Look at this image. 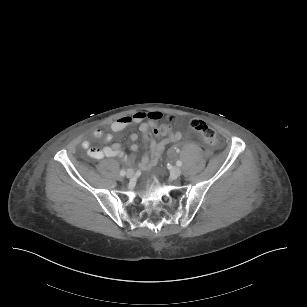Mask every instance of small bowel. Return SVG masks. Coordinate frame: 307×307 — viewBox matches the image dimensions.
Returning <instances> with one entry per match:
<instances>
[{"mask_svg":"<svg viewBox=\"0 0 307 307\" xmlns=\"http://www.w3.org/2000/svg\"><path fill=\"white\" fill-rule=\"evenodd\" d=\"M162 119V113L159 111H137L132 114L123 116L115 120L111 124V129L114 132H120L132 124H140V131L143 136V140L149 146L146 147V153L139 162V166L142 169H149L155 166L158 162V159L162 152L164 151L166 145L172 142H177L181 139L182 135L180 132H172L170 135H165L162 141L158 144H150L145 139L146 130L159 124V121ZM94 138L103 139L105 143L111 141L112 136L110 134H105L101 129H94L92 132ZM131 141V150L133 152L138 150V145L134 143L137 140V134L133 133L130 136ZM82 148L87 152V154L94 159H103L105 157H123L124 154L121 149V145L116 143L112 146H105L101 149L92 148L89 141L85 140L82 142ZM128 163L131 162V158H125Z\"/></svg>","mask_w":307,"mask_h":307,"instance_id":"obj_1","label":"small bowel"}]
</instances>
